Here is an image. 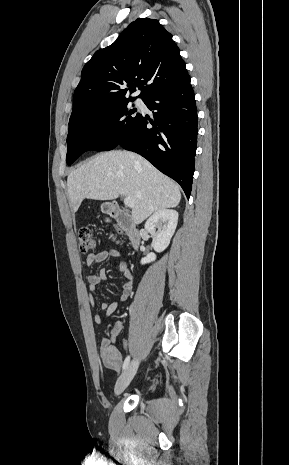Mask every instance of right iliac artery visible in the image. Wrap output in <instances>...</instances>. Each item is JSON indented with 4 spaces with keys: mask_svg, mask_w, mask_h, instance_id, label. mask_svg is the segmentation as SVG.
Listing matches in <instances>:
<instances>
[{
    "mask_svg": "<svg viewBox=\"0 0 289 465\" xmlns=\"http://www.w3.org/2000/svg\"><path fill=\"white\" fill-rule=\"evenodd\" d=\"M129 362H130V356H127L123 363V370H125L128 367Z\"/></svg>",
    "mask_w": 289,
    "mask_h": 465,
    "instance_id": "82829eb1",
    "label": "right iliac artery"
}]
</instances>
